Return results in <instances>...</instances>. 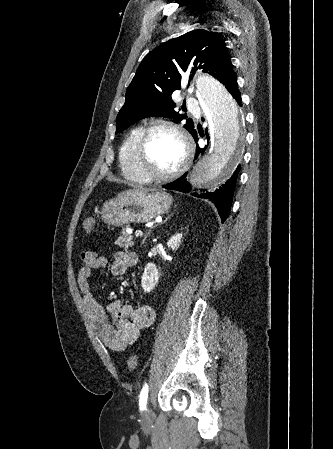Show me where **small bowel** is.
Instances as JSON below:
<instances>
[{
    "instance_id": "1",
    "label": "small bowel",
    "mask_w": 333,
    "mask_h": 449,
    "mask_svg": "<svg viewBox=\"0 0 333 449\" xmlns=\"http://www.w3.org/2000/svg\"><path fill=\"white\" fill-rule=\"evenodd\" d=\"M81 260L77 282L84 310L101 341L114 351H122L133 344L140 333L154 321L155 310L147 304L132 306L114 300L107 306L106 311L94 298L89 278L94 269L105 267L107 260L91 251L82 252ZM136 263V254L116 252L110 265V272L115 277L121 276L128 267Z\"/></svg>"
}]
</instances>
